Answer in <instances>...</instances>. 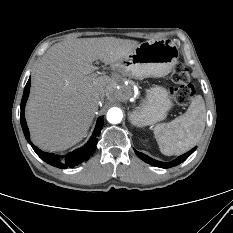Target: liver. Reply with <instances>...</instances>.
Wrapping results in <instances>:
<instances>
[{"mask_svg":"<svg viewBox=\"0 0 233 233\" xmlns=\"http://www.w3.org/2000/svg\"><path fill=\"white\" fill-rule=\"evenodd\" d=\"M139 42L115 37L58 42L43 55L33 73L26 120L31 140L47 151L80 142L91 126L100 98L109 94L111 78H92L93 62L121 61Z\"/></svg>","mask_w":233,"mask_h":233,"instance_id":"6515ba94","label":"liver"}]
</instances>
